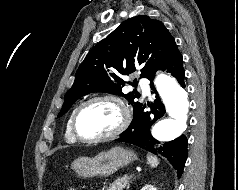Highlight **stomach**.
<instances>
[{
	"mask_svg": "<svg viewBox=\"0 0 238 190\" xmlns=\"http://www.w3.org/2000/svg\"><path fill=\"white\" fill-rule=\"evenodd\" d=\"M137 159L133 151L117 146L109 151H102L93 158H77L72 163V169L85 179L96 176L108 177Z\"/></svg>",
	"mask_w": 238,
	"mask_h": 190,
	"instance_id": "stomach-1",
	"label": "stomach"
}]
</instances>
